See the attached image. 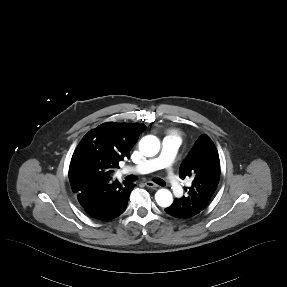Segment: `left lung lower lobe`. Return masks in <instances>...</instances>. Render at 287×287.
Returning <instances> with one entry per match:
<instances>
[{"instance_id": "0a47b994", "label": "left lung lower lobe", "mask_w": 287, "mask_h": 287, "mask_svg": "<svg viewBox=\"0 0 287 287\" xmlns=\"http://www.w3.org/2000/svg\"><path fill=\"white\" fill-rule=\"evenodd\" d=\"M202 210L189 206L184 199H175L171 206L165 208V212L177 218H189L197 215Z\"/></svg>"}]
</instances>
